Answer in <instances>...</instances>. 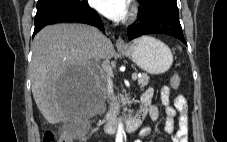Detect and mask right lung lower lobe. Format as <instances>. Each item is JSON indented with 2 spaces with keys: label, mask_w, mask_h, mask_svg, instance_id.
Listing matches in <instances>:
<instances>
[{
  "label": "right lung lower lobe",
  "mask_w": 227,
  "mask_h": 142,
  "mask_svg": "<svg viewBox=\"0 0 227 142\" xmlns=\"http://www.w3.org/2000/svg\"><path fill=\"white\" fill-rule=\"evenodd\" d=\"M58 22H79L90 24L104 30L98 13L89 7L87 0L78 5L57 6L37 10L33 36L44 26Z\"/></svg>",
  "instance_id": "right-lung-lower-lobe-1"
}]
</instances>
